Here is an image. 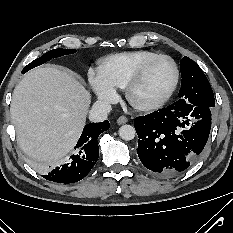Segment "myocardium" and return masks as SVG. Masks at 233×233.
<instances>
[{"label": "myocardium", "instance_id": "1", "mask_svg": "<svg viewBox=\"0 0 233 233\" xmlns=\"http://www.w3.org/2000/svg\"><path fill=\"white\" fill-rule=\"evenodd\" d=\"M161 58L168 59L173 66L174 76H173V80H172L171 84L169 85L167 90L164 92V94L161 97H159L158 99H156L155 101L145 103V104L135 102L132 98V91H133L134 87L137 85V83L142 78L147 67L152 62H154L158 59H161ZM179 77H180V72H179V68H178L175 60L167 54H156V55L146 59L145 61H143L130 75V77L128 78V80L124 86L125 97L131 106H133L135 109H138L140 111H152V110L158 109L161 106H163L169 100V98L172 96V94L174 93V91L177 87V84L179 82Z\"/></svg>", "mask_w": 233, "mask_h": 233}]
</instances>
